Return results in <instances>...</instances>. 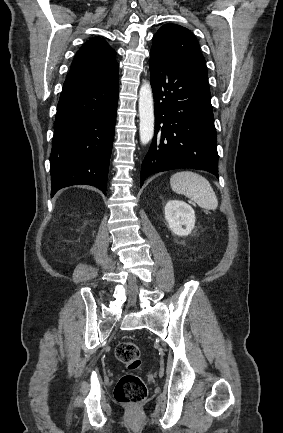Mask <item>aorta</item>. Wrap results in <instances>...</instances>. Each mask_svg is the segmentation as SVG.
I'll list each match as a JSON object with an SVG mask.
<instances>
[{"label":"aorta","mask_w":283,"mask_h":433,"mask_svg":"<svg viewBox=\"0 0 283 433\" xmlns=\"http://www.w3.org/2000/svg\"><path fill=\"white\" fill-rule=\"evenodd\" d=\"M139 135L143 145L148 144L154 135L155 115L152 87L144 82L139 91Z\"/></svg>","instance_id":"aorta-1"}]
</instances>
